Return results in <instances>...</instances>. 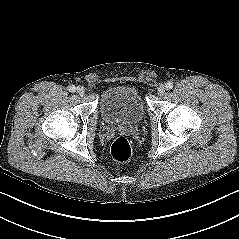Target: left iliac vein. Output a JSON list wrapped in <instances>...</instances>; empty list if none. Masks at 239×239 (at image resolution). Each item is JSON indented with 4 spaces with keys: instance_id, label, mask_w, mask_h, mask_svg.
I'll list each match as a JSON object with an SVG mask.
<instances>
[{
    "instance_id": "obj_1",
    "label": "left iliac vein",
    "mask_w": 239,
    "mask_h": 239,
    "mask_svg": "<svg viewBox=\"0 0 239 239\" xmlns=\"http://www.w3.org/2000/svg\"><path fill=\"white\" fill-rule=\"evenodd\" d=\"M164 93H165V86L160 85V86L158 87L157 94H158L159 96H162V95H164Z\"/></svg>"
}]
</instances>
